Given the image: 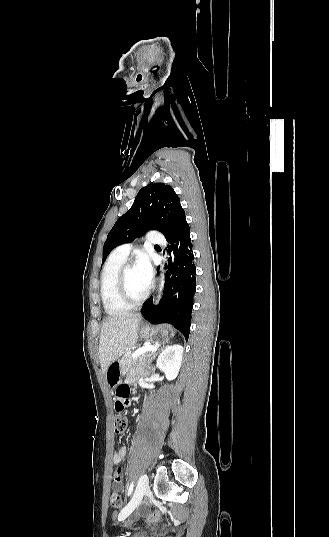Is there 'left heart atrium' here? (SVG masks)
Listing matches in <instances>:
<instances>
[{"mask_svg": "<svg viewBox=\"0 0 329 537\" xmlns=\"http://www.w3.org/2000/svg\"><path fill=\"white\" fill-rule=\"evenodd\" d=\"M134 268L141 282L148 288L153 274L149 257L143 252L139 253Z\"/></svg>", "mask_w": 329, "mask_h": 537, "instance_id": "1", "label": "left heart atrium"}]
</instances>
